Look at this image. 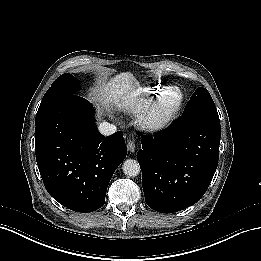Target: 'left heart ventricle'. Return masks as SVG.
Wrapping results in <instances>:
<instances>
[{"instance_id": "b2bd125f", "label": "left heart ventricle", "mask_w": 261, "mask_h": 261, "mask_svg": "<svg viewBox=\"0 0 261 261\" xmlns=\"http://www.w3.org/2000/svg\"><path fill=\"white\" fill-rule=\"evenodd\" d=\"M177 99V95L174 92H171L158 102L159 110L162 112L170 111L175 106Z\"/></svg>"}]
</instances>
